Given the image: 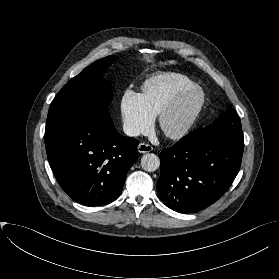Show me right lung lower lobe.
I'll return each instance as SVG.
<instances>
[{
	"label": "right lung lower lobe",
	"instance_id": "right-lung-lower-lobe-1",
	"mask_svg": "<svg viewBox=\"0 0 279 279\" xmlns=\"http://www.w3.org/2000/svg\"><path fill=\"white\" fill-rule=\"evenodd\" d=\"M138 140L120 135L105 106H91L45 132L50 167L76 202L99 206L116 200L138 159Z\"/></svg>",
	"mask_w": 279,
	"mask_h": 279
}]
</instances>
